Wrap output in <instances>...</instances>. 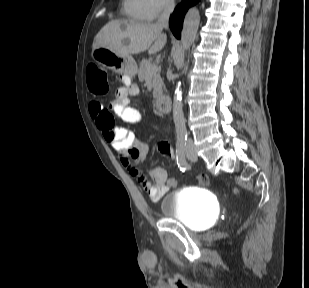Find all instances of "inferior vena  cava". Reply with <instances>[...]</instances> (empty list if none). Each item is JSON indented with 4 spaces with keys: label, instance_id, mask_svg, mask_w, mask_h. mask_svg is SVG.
<instances>
[{
    "label": "inferior vena cava",
    "instance_id": "602c4592",
    "mask_svg": "<svg viewBox=\"0 0 309 288\" xmlns=\"http://www.w3.org/2000/svg\"><path fill=\"white\" fill-rule=\"evenodd\" d=\"M175 7L174 0H167L163 13L160 15L157 25L161 28H167L170 18V14L173 12Z\"/></svg>",
    "mask_w": 309,
    "mask_h": 288
}]
</instances>
